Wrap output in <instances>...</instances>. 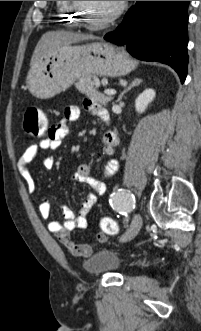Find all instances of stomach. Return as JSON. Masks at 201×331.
Listing matches in <instances>:
<instances>
[{
    "instance_id": "obj_1",
    "label": "stomach",
    "mask_w": 201,
    "mask_h": 331,
    "mask_svg": "<svg viewBox=\"0 0 201 331\" xmlns=\"http://www.w3.org/2000/svg\"><path fill=\"white\" fill-rule=\"evenodd\" d=\"M137 66L124 50L98 41L63 45L38 60L30 69L27 84L37 98L48 99L69 88L77 79L98 75L118 77Z\"/></svg>"
}]
</instances>
